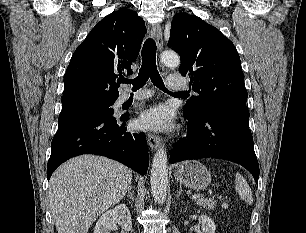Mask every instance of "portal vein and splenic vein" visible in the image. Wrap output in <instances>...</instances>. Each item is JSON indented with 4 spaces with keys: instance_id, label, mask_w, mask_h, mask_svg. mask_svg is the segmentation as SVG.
<instances>
[{
    "instance_id": "1",
    "label": "portal vein and splenic vein",
    "mask_w": 306,
    "mask_h": 233,
    "mask_svg": "<svg viewBox=\"0 0 306 233\" xmlns=\"http://www.w3.org/2000/svg\"><path fill=\"white\" fill-rule=\"evenodd\" d=\"M202 195L201 194H194V195H192V199L193 200H196V199H198V198H200Z\"/></svg>"
}]
</instances>
